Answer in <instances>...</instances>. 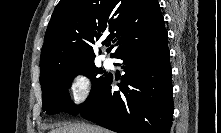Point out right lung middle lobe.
Masks as SVG:
<instances>
[{
	"mask_svg": "<svg viewBox=\"0 0 221 133\" xmlns=\"http://www.w3.org/2000/svg\"><path fill=\"white\" fill-rule=\"evenodd\" d=\"M103 71L94 62L62 63L52 65L40 74L42 88L43 110L48 114L66 112L79 114L82 107L97 93L107 80L108 75H100ZM83 74L93 82V88L88 99L81 105H74L69 97L68 88L75 76Z\"/></svg>",
	"mask_w": 221,
	"mask_h": 133,
	"instance_id": "right-lung-middle-lobe-1",
	"label": "right lung middle lobe"
}]
</instances>
